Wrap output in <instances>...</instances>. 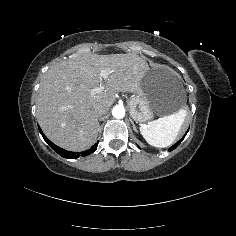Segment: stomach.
I'll use <instances>...</instances> for the list:
<instances>
[{"mask_svg": "<svg viewBox=\"0 0 236 236\" xmlns=\"http://www.w3.org/2000/svg\"><path fill=\"white\" fill-rule=\"evenodd\" d=\"M185 104L186 93L180 79L163 68L149 69L128 100L130 116L138 123L150 121L154 114H175Z\"/></svg>", "mask_w": 236, "mask_h": 236, "instance_id": "1", "label": "stomach"}]
</instances>
